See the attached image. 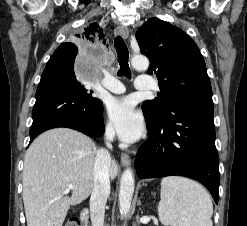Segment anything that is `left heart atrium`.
I'll use <instances>...</instances> for the list:
<instances>
[{
  "mask_svg": "<svg viewBox=\"0 0 247 226\" xmlns=\"http://www.w3.org/2000/svg\"><path fill=\"white\" fill-rule=\"evenodd\" d=\"M107 112L122 141L132 143L141 137L144 131L143 118L131 98L111 99L107 104Z\"/></svg>",
  "mask_w": 247,
  "mask_h": 226,
  "instance_id": "obj_1",
  "label": "left heart atrium"
}]
</instances>
